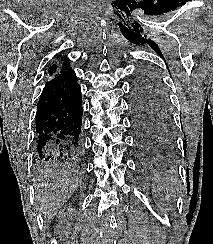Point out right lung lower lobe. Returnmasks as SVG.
Instances as JSON below:
<instances>
[{
    "instance_id": "1",
    "label": "right lung lower lobe",
    "mask_w": 213,
    "mask_h": 244,
    "mask_svg": "<svg viewBox=\"0 0 213 244\" xmlns=\"http://www.w3.org/2000/svg\"><path fill=\"white\" fill-rule=\"evenodd\" d=\"M82 97L73 70L45 84L36 113L37 152L43 161H77L82 154Z\"/></svg>"
}]
</instances>
